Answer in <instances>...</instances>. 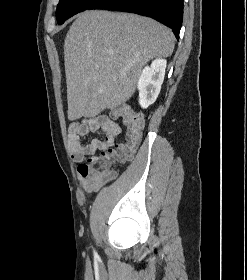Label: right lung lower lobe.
<instances>
[{"mask_svg":"<svg viewBox=\"0 0 247 280\" xmlns=\"http://www.w3.org/2000/svg\"><path fill=\"white\" fill-rule=\"evenodd\" d=\"M89 9L131 12L154 18L170 27L179 39L183 0H99Z\"/></svg>","mask_w":247,"mask_h":280,"instance_id":"1","label":"right lung lower lobe"}]
</instances>
